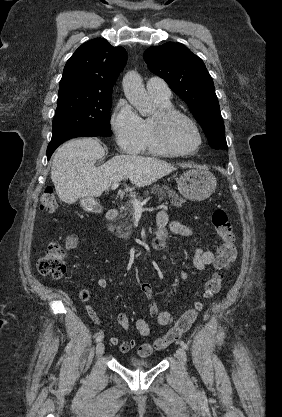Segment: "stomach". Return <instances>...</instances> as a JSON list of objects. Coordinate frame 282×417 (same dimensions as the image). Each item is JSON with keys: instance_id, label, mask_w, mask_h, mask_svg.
I'll use <instances>...</instances> for the list:
<instances>
[{"instance_id": "0dacf381", "label": "stomach", "mask_w": 282, "mask_h": 417, "mask_svg": "<svg viewBox=\"0 0 282 417\" xmlns=\"http://www.w3.org/2000/svg\"><path fill=\"white\" fill-rule=\"evenodd\" d=\"M216 184L214 174L205 168L186 170L177 180L178 190L188 200H205L213 194Z\"/></svg>"}]
</instances>
